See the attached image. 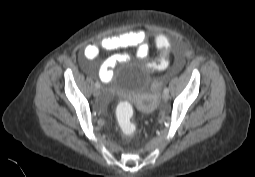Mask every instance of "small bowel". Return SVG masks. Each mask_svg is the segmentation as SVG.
<instances>
[{
  "instance_id": "c3829d8e",
  "label": "small bowel",
  "mask_w": 255,
  "mask_h": 177,
  "mask_svg": "<svg viewBox=\"0 0 255 177\" xmlns=\"http://www.w3.org/2000/svg\"><path fill=\"white\" fill-rule=\"evenodd\" d=\"M128 47H136L137 56L141 58L146 57L150 52L147 33L142 29H138L116 36L104 37L99 44H89L84 48L81 56V64L87 72H91L92 69L88 61L98 58L100 48L105 50H117ZM129 58L130 56L127 53H116L107 57L99 69L101 81L106 83L111 80L114 67L119 63L128 61ZM178 62L181 64L180 59H178Z\"/></svg>"
}]
</instances>
